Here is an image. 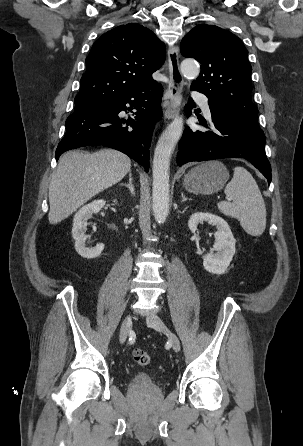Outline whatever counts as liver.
<instances>
[{
	"mask_svg": "<svg viewBox=\"0 0 303 446\" xmlns=\"http://www.w3.org/2000/svg\"><path fill=\"white\" fill-rule=\"evenodd\" d=\"M130 169V158L113 149L63 154L49 186L50 224L66 219L96 194L122 180Z\"/></svg>",
	"mask_w": 303,
	"mask_h": 446,
	"instance_id": "1",
	"label": "liver"
}]
</instances>
